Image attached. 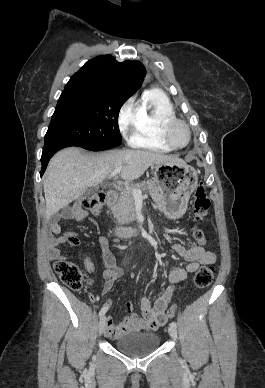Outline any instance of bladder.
Masks as SVG:
<instances>
[{"label":"bladder","instance_id":"obj_1","mask_svg":"<svg viewBox=\"0 0 265 388\" xmlns=\"http://www.w3.org/2000/svg\"><path fill=\"white\" fill-rule=\"evenodd\" d=\"M160 341L161 338L153 331L135 333L116 339V347L120 352L126 353L129 356L139 357L142 354L155 351Z\"/></svg>","mask_w":265,"mask_h":388}]
</instances>
